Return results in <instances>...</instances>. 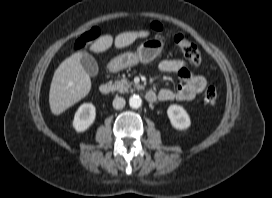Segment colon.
Returning a JSON list of instances; mask_svg holds the SVG:
<instances>
[{
	"mask_svg": "<svg viewBox=\"0 0 272 198\" xmlns=\"http://www.w3.org/2000/svg\"><path fill=\"white\" fill-rule=\"evenodd\" d=\"M152 30L160 32L162 27L158 23L151 24ZM99 29L94 27L88 30L86 33L81 35L76 43L75 48L78 50L84 49L89 43L96 40L99 36ZM174 44L180 50V52L195 66L198 67L201 64V54L198 49V46L187 39L182 34H176L173 36ZM217 101V91L213 86H208L203 94V102L207 106L215 105Z\"/></svg>",
	"mask_w": 272,
	"mask_h": 198,
	"instance_id": "colon-1",
	"label": "colon"
}]
</instances>
